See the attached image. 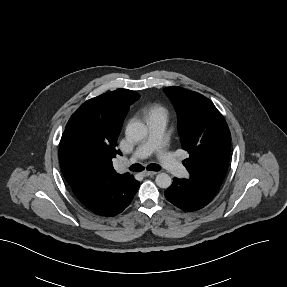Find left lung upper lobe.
Masks as SVG:
<instances>
[{
	"instance_id": "1",
	"label": "left lung upper lobe",
	"mask_w": 287,
	"mask_h": 287,
	"mask_svg": "<svg viewBox=\"0 0 287 287\" xmlns=\"http://www.w3.org/2000/svg\"><path fill=\"white\" fill-rule=\"evenodd\" d=\"M164 92L177 112L182 148L189 153L184 165L190 179L218 190L230 159L227 123L214 104L197 92L175 86Z\"/></svg>"
}]
</instances>
